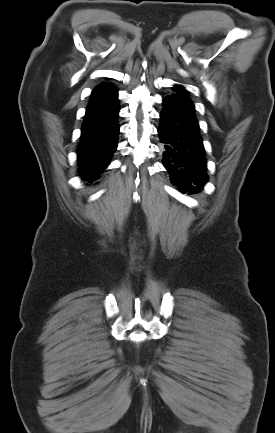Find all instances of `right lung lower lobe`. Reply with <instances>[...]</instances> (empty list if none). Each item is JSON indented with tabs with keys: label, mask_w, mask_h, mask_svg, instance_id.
<instances>
[{
	"label": "right lung lower lobe",
	"mask_w": 275,
	"mask_h": 433,
	"mask_svg": "<svg viewBox=\"0 0 275 433\" xmlns=\"http://www.w3.org/2000/svg\"><path fill=\"white\" fill-rule=\"evenodd\" d=\"M117 97L114 87L102 84L93 90L86 109L77 154L79 174L90 182L108 166L118 145Z\"/></svg>",
	"instance_id": "1"
}]
</instances>
